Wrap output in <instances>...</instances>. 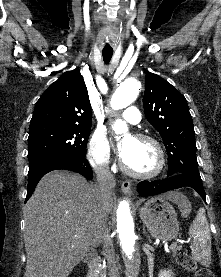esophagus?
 Here are the masks:
<instances>
[{"label":"esophagus","instance_id":"34e87169","mask_svg":"<svg viewBox=\"0 0 221 277\" xmlns=\"http://www.w3.org/2000/svg\"><path fill=\"white\" fill-rule=\"evenodd\" d=\"M122 192L126 195H131V182L130 181H124L121 185Z\"/></svg>","mask_w":221,"mask_h":277}]
</instances>
